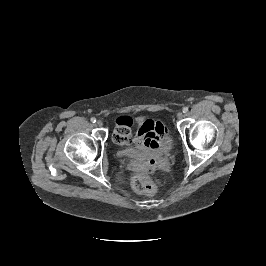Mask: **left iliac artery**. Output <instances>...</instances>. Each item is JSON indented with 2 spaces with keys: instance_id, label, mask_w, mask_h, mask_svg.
Listing matches in <instances>:
<instances>
[{
  "instance_id": "1",
  "label": "left iliac artery",
  "mask_w": 266,
  "mask_h": 266,
  "mask_svg": "<svg viewBox=\"0 0 266 266\" xmlns=\"http://www.w3.org/2000/svg\"><path fill=\"white\" fill-rule=\"evenodd\" d=\"M182 111H183L184 113H187V112L189 111V109H188V107H183Z\"/></svg>"
}]
</instances>
